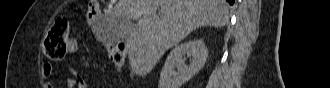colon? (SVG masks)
<instances>
[{
  "instance_id": "5ec220e1",
  "label": "colon",
  "mask_w": 330,
  "mask_h": 88,
  "mask_svg": "<svg viewBox=\"0 0 330 88\" xmlns=\"http://www.w3.org/2000/svg\"><path fill=\"white\" fill-rule=\"evenodd\" d=\"M100 13V4L98 1H91L86 10L85 16L89 26L92 28L96 18ZM70 28L69 22L66 18H59L55 21L52 28L48 32L45 39V52L46 55L51 59H60L65 55L67 45L70 40ZM96 42L106 47L108 44L103 42L98 37H94ZM116 46V45H115ZM118 47V46H117ZM120 50V48H118ZM122 51L116 55H111L110 59L116 68H120L123 65Z\"/></svg>"
}]
</instances>
